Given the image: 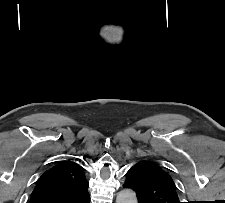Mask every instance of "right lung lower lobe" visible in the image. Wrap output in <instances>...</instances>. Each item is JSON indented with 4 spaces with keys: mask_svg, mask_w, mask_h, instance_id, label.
<instances>
[{
    "mask_svg": "<svg viewBox=\"0 0 225 203\" xmlns=\"http://www.w3.org/2000/svg\"><path fill=\"white\" fill-rule=\"evenodd\" d=\"M79 203H89V195L83 198Z\"/></svg>",
    "mask_w": 225,
    "mask_h": 203,
    "instance_id": "obj_1",
    "label": "right lung lower lobe"
}]
</instances>
